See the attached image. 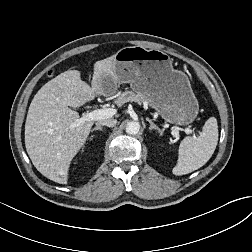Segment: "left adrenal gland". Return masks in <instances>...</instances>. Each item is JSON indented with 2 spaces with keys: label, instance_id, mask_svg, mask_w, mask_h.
Instances as JSON below:
<instances>
[{
  "label": "left adrenal gland",
  "instance_id": "1",
  "mask_svg": "<svg viewBox=\"0 0 252 252\" xmlns=\"http://www.w3.org/2000/svg\"><path fill=\"white\" fill-rule=\"evenodd\" d=\"M146 120L150 123V127H149L150 130H154V129H155V130L158 131V133H159L160 135L162 134V131L160 130V128H159L158 126H156V124L153 123L151 119L146 118Z\"/></svg>",
  "mask_w": 252,
  "mask_h": 252
}]
</instances>
